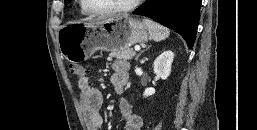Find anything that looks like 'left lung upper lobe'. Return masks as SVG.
Masks as SVG:
<instances>
[{
	"label": "left lung upper lobe",
	"instance_id": "1",
	"mask_svg": "<svg viewBox=\"0 0 257 130\" xmlns=\"http://www.w3.org/2000/svg\"><path fill=\"white\" fill-rule=\"evenodd\" d=\"M64 1H65V5H67L70 2V0H64Z\"/></svg>",
	"mask_w": 257,
	"mask_h": 130
}]
</instances>
